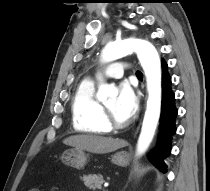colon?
<instances>
[{
	"label": "colon",
	"instance_id": "colon-1",
	"mask_svg": "<svg viewBox=\"0 0 210 191\" xmlns=\"http://www.w3.org/2000/svg\"><path fill=\"white\" fill-rule=\"evenodd\" d=\"M29 191H41V190L38 189V188H33V189L29 190Z\"/></svg>",
	"mask_w": 210,
	"mask_h": 191
}]
</instances>
